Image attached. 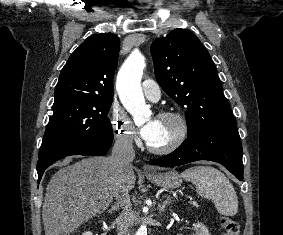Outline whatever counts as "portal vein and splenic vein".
I'll use <instances>...</instances> for the list:
<instances>
[{"instance_id": "1", "label": "portal vein and splenic vein", "mask_w": 283, "mask_h": 235, "mask_svg": "<svg viewBox=\"0 0 283 235\" xmlns=\"http://www.w3.org/2000/svg\"><path fill=\"white\" fill-rule=\"evenodd\" d=\"M193 203V205H197L195 202H192Z\"/></svg>"}]
</instances>
